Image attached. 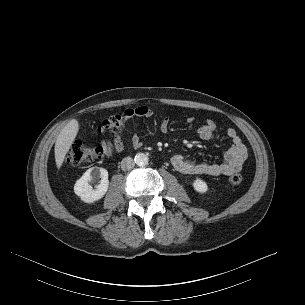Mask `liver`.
<instances>
[{"instance_id": "1", "label": "liver", "mask_w": 305, "mask_h": 305, "mask_svg": "<svg viewBox=\"0 0 305 305\" xmlns=\"http://www.w3.org/2000/svg\"><path fill=\"white\" fill-rule=\"evenodd\" d=\"M79 131V123L76 119H72L69 123L62 129L58 135L55 143V162L58 169L61 168L65 156L71 148L73 141L75 140Z\"/></svg>"}]
</instances>
